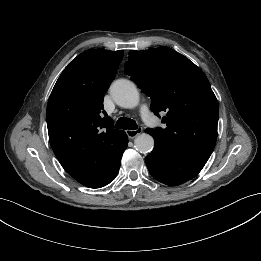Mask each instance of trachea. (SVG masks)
<instances>
[{"instance_id": "obj_1", "label": "trachea", "mask_w": 261, "mask_h": 261, "mask_svg": "<svg viewBox=\"0 0 261 261\" xmlns=\"http://www.w3.org/2000/svg\"><path fill=\"white\" fill-rule=\"evenodd\" d=\"M116 128L135 130V129H137V124H136L135 120H132V119H129L126 117H121L116 122Z\"/></svg>"}]
</instances>
